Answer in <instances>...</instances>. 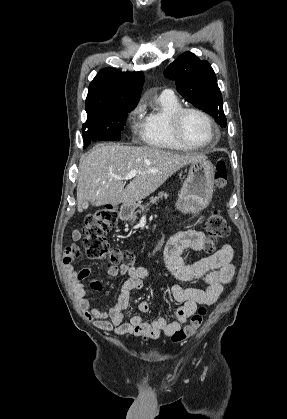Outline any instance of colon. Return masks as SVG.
<instances>
[{
  "mask_svg": "<svg viewBox=\"0 0 287 419\" xmlns=\"http://www.w3.org/2000/svg\"><path fill=\"white\" fill-rule=\"evenodd\" d=\"M215 181L218 187H224L226 185V165L222 161L217 164ZM117 222L118 212L113 205H107L97 210L86 218V224L82 230V241L90 258L108 259L114 264L123 261L124 264L131 265L133 254L127 250L111 248L106 239V234L117 225ZM205 230L208 236L214 241L225 239L230 234V227L219 211H214L209 216ZM207 250H214V245L208 244ZM206 312L207 310L204 306L200 307L193 314L188 325L178 329L171 335L172 341L179 343L192 337L203 323Z\"/></svg>",
  "mask_w": 287,
  "mask_h": 419,
  "instance_id": "colon-1",
  "label": "colon"
}]
</instances>
